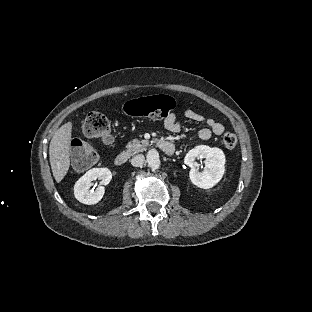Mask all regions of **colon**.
Here are the masks:
<instances>
[{
	"instance_id": "5ec220e1",
	"label": "colon",
	"mask_w": 312,
	"mask_h": 312,
	"mask_svg": "<svg viewBox=\"0 0 312 312\" xmlns=\"http://www.w3.org/2000/svg\"><path fill=\"white\" fill-rule=\"evenodd\" d=\"M173 109L174 103L167 95L141 97L130 100L125 105V112L128 115L153 120L166 118ZM82 133L89 138L107 141L111 138V122L101 111H90L82 125ZM223 143L226 148L233 149L237 144V138L234 134H226ZM72 158L75 162L88 167L98 159V155L94 150L83 147L75 149Z\"/></svg>"
}]
</instances>
